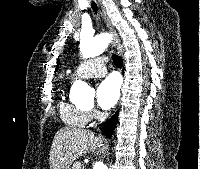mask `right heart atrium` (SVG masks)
I'll list each match as a JSON object with an SVG mask.
<instances>
[{
  "mask_svg": "<svg viewBox=\"0 0 200 169\" xmlns=\"http://www.w3.org/2000/svg\"><path fill=\"white\" fill-rule=\"evenodd\" d=\"M88 122L94 121L98 118V112L95 108H89L86 110Z\"/></svg>",
  "mask_w": 200,
  "mask_h": 169,
  "instance_id": "d8ad5b80",
  "label": "right heart atrium"
}]
</instances>
